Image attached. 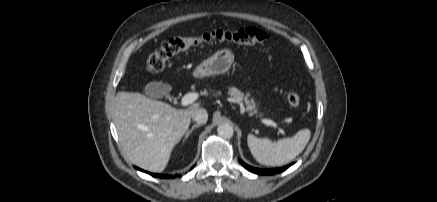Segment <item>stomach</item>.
Instances as JSON below:
<instances>
[{"label":"stomach","mask_w":437,"mask_h":202,"mask_svg":"<svg viewBox=\"0 0 437 202\" xmlns=\"http://www.w3.org/2000/svg\"><path fill=\"white\" fill-rule=\"evenodd\" d=\"M234 60L233 51L230 48L217 50L212 56L204 60L196 67L193 75L203 78L211 75L223 74L227 72Z\"/></svg>","instance_id":"stomach-1"}]
</instances>
